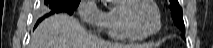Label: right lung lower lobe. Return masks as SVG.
Instances as JSON below:
<instances>
[{"label": "right lung lower lobe", "mask_w": 213, "mask_h": 48, "mask_svg": "<svg viewBox=\"0 0 213 48\" xmlns=\"http://www.w3.org/2000/svg\"><path fill=\"white\" fill-rule=\"evenodd\" d=\"M39 21H41V19ZM39 21L37 22V24L39 23ZM37 24H36V26H37Z\"/></svg>", "instance_id": "obj_1"}]
</instances>
